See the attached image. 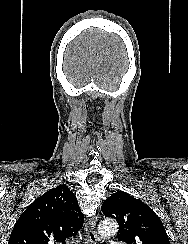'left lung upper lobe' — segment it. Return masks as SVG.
<instances>
[{
    "label": "left lung upper lobe",
    "mask_w": 188,
    "mask_h": 244,
    "mask_svg": "<svg viewBox=\"0 0 188 244\" xmlns=\"http://www.w3.org/2000/svg\"><path fill=\"white\" fill-rule=\"evenodd\" d=\"M101 210L105 217L117 220L118 241L126 244H170L164 226L155 212L123 191L108 197Z\"/></svg>",
    "instance_id": "obj_1"
}]
</instances>
